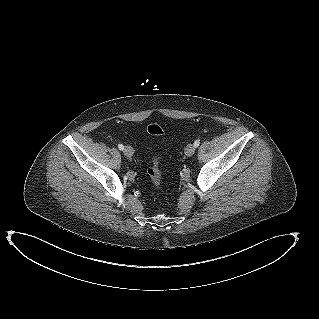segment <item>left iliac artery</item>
<instances>
[{"label":"left iliac artery","instance_id":"obj_1","mask_svg":"<svg viewBox=\"0 0 319 319\" xmlns=\"http://www.w3.org/2000/svg\"><path fill=\"white\" fill-rule=\"evenodd\" d=\"M199 144H200V140H196V141L194 142V146H195V147H198Z\"/></svg>","mask_w":319,"mask_h":319}]
</instances>
